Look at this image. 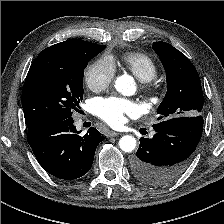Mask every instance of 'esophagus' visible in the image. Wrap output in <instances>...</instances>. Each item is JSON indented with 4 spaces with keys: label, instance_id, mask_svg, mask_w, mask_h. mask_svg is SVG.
Returning <instances> with one entry per match:
<instances>
[{
    "label": "esophagus",
    "instance_id": "esophagus-1",
    "mask_svg": "<svg viewBox=\"0 0 224 224\" xmlns=\"http://www.w3.org/2000/svg\"><path fill=\"white\" fill-rule=\"evenodd\" d=\"M119 135H121V133L114 132V131L109 132V137H116V136H119Z\"/></svg>",
    "mask_w": 224,
    "mask_h": 224
}]
</instances>
